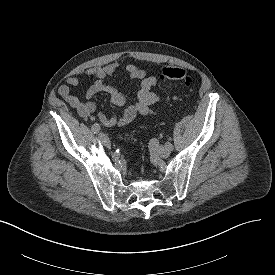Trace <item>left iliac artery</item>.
Returning <instances> with one entry per match:
<instances>
[{"instance_id":"obj_1","label":"left iliac artery","mask_w":275,"mask_h":275,"mask_svg":"<svg viewBox=\"0 0 275 275\" xmlns=\"http://www.w3.org/2000/svg\"><path fill=\"white\" fill-rule=\"evenodd\" d=\"M165 146H166L168 149H170V150L173 149V145H172L170 142H167V143L165 144Z\"/></svg>"}]
</instances>
